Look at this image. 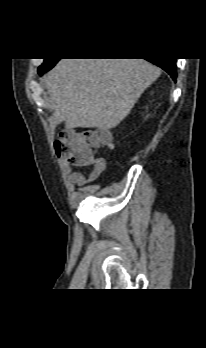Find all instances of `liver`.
Listing matches in <instances>:
<instances>
[{
    "mask_svg": "<svg viewBox=\"0 0 206 348\" xmlns=\"http://www.w3.org/2000/svg\"><path fill=\"white\" fill-rule=\"evenodd\" d=\"M160 75L145 59H61L47 74L46 89L67 127L109 130Z\"/></svg>",
    "mask_w": 206,
    "mask_h": 348,
    "instance_id": "obj_1",
    "label": "liver"
}]
</instances>
